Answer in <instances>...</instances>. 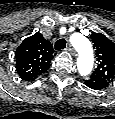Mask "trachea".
I'll use <instances>...</instances> for the list:
<instances>
[{
    "instance_id": "3493384b",
    "label": "trachea",
    "mask_w": 115,
    "mask_h": 119,
    "mask_svg": "<svg viewBox=\"0 0 115 119\" xmlns=\"http://www.w3.org/2000/svg\"><path fill=\"white\" fill-rule=\"evenodd\" d=\"M66 47V40L65 39H59L55 43V49L56 50H63Z\"/></svg>"
}]
</instances>
